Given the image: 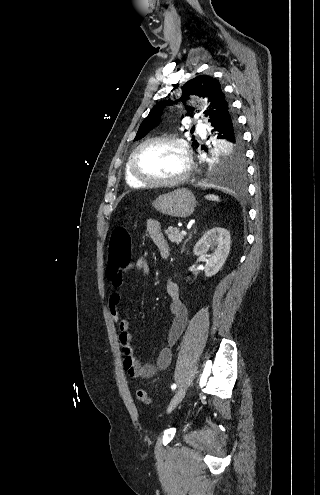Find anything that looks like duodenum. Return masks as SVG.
Listing matches in <instances>:
<instances>
[{"label":"duodenum","instance_id":"1","mask_svg":"<svg viewBox=\"0 0 320 495\" xmlns=\"http://www.w3.org/2000/svg\"><path fill=\"white\" fill-rule=\"evenodd\" d=\"M168 255H169V250L168 249L162 251V256L164 258L168 257Z\"/></svg>","mask_w":320,"mask_h":495}]
</instances>
